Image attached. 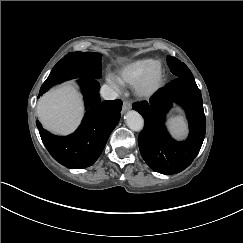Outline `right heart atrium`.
<instances>
[{"mask_svg":"<svg viewBox=\"0 0 243 243\" xmlns=\"http://www.w3.org/2000/svg\"><path fill=\"white\" fill-rule=\"evenodd\" d=\"M103 79L114 91L117 97L122 94V84L120 83L116 73L110 69L106 70L103 74Z\"/></svg>","mask_w":243,"mask_h":243,"instance_id":"obj_1","label":"right heart atrium"}]
</instances>
